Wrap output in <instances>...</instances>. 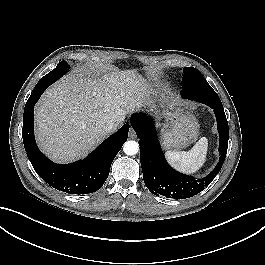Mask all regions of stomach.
<instances>
[{
  "label": "stomach",
  "instance_id": "stomach-1",
  "mask_svg": "<svg viewBox=\"0 0 265 265\" xmlns=\"http://www.w3.org/2000/svg\"><path fill=\"white\" fill-rule=\"evenodd\" d=\"M153 101L162 108L165 123L162 125L161 142L165 149H181L192 143L198 136L196 118L179 104L170 102L160 88H151Z\"/></svg>",
  "mask_w": 265,
  "mask_h": 265
}]
</instances>
